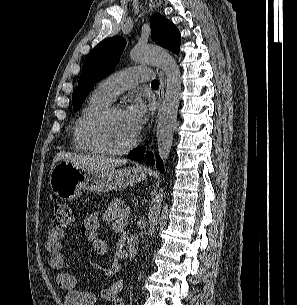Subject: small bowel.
Returning a JSON list of instances; mask_svg holds the SVG:
<instances>
[{
  "instance_id": "obj_1",
  "label": "small bowel",
  "mask_w": 297,
  "mask_h": 305,
  "mask_svg": "<svg viewBox=\"0 0 297 305\" xmlns=\"http://www.w3.org/2000/svg\"><path fill=\"white\" fill-rule=\"evenodd\" d=\"M98 228V214L92 213L85 218L81 234L87 239L93 250L102 255L108 251V244L98 236ZM63 238L62 230L51 228L46 236L45 247L49 253V265L55 273L56 282L66 292L65 305H100L95 294L77 289L75 276L66 270L65 257L61 251ZM122 287L123 281L119 280L108 288L100 289L98 295L113 305H124L120 296Z\"/></svg>"
}]
</instances>
